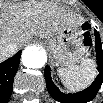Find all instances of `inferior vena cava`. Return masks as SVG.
<instances>
[{"mask_svg":"<svg viewBox=\"0 0 103 103\" xmlns=\"http://www.w3.org/2000/svg\"><path fill=\"white\" fill-rule=\"evenodd\" d=\"M15 44L14 43H8V44H5L4 46L1 45V50H9L10 48H12Z\"/></svg>","mask_w":103,"mask_h":103,"instance_id":"obj_1","label":"inferior vena cava"}]
</instances>
